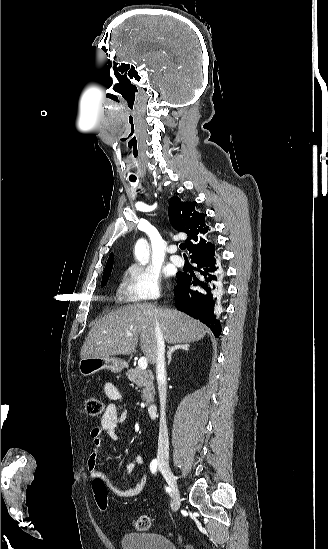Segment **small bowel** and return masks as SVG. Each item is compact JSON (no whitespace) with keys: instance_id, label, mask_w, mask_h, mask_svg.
Listing matches in <instances>:
<instances>
[{"instance_id":"small-bowel-1","label":"small bowel","mask_w":328,"mask_h":549,"mask_svg":"<svg viewBox=\"0 0 328 549\" xmlns=\"http://www.w3.org/2000/svg\"><path fill=\"white\" fill-rule=\"evenodd\" d=\"M104 391L110 402L107 404L104 413L100 418V423L97 427L91 431L92 448L87 460V470L90 476L94 479L101 478L105 480V476L100 472L98 468L100 459V449L103 436H107L111 440L118 441L120 436L118 434L119 426L127 419V411H119L115 402L121 400V392L113 383H106L104 385ZM145 463L144 458L141 455H135L126 463V470L128 474H133L137 465H143ZM112 490L119 496L123 497H135L142 493L147 483V476H142L137 482L128 489H122L119 486L108 481Z\"/></svg>"}]
</instances>
